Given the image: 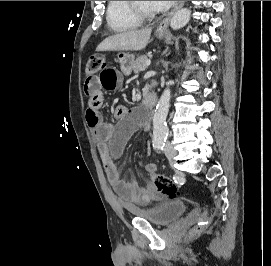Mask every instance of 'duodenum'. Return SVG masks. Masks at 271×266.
<instances>
[{
  "label": "duodenum",
  "instance_id": "1",
  "mask_svg": "<svg viewBox=\"0 0 271 266\" xmlns=\"http://www.w3.org/2000/svg\"><path fill=\"white\" fill-rule=\"evenodd\" d=\"M157 102V97L155 94L147 93L144 95V104L148 108H154Z\"/></svg>",
  "mask_w": 271,
  "mask_h": 266
}]
</instances>
